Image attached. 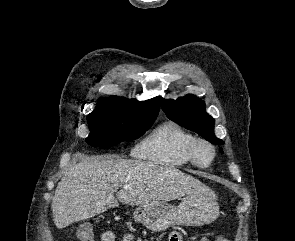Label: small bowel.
I'll return each instance as SVG.
<instances>
[{
    "mask_svg": "<svg viewBox=\"0 0 295 241\" xmlns=\"http://www.w3.org/2000/svg\"><path fill=\"white\" fill-rule=\"evenodd\" d=\"M173 233H175V232H172L170 234L169 241H170ZM102 241H115V235L112 232H106L102 235ZM123 241H145V240H143L142 238L136 237L132 233H128L125 235Z\"/></svg>",
    "mask_w": 295,
    "mask_h": 241,
    "instance_id": "small-bowel-1",
    "label": "small bowel"
}]
</instances>
